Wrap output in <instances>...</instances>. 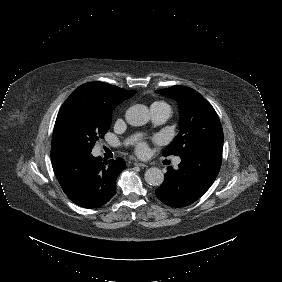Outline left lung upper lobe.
<instances>
[{
    "label": "left lung upper lobe",
    "instance_id": "1",
    "mask_svg": "<svg viewBox=\"0 0 282 282\" xmlns=\"http://www.w3.org/2000/svg\"><path fill=\"white\" fill-rule=\"evenodd\" d=\"M157 93L173 98L179 103L181 130L166 147L164 156H184L202 147L223 146V130L211 104L197 91L185 86H172Z\"/></svg>",
    "mask_w": 282,
    "mask_h": 282
}]
</instances>
